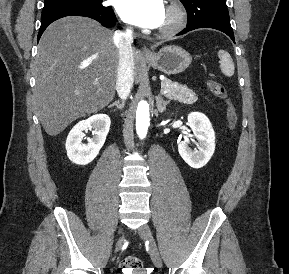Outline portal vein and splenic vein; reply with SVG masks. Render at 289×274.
Returning <instances> with one entry per match:
<instances>
[{
	"label": "portal vein and splenic vein",
	"instance_id": "portal-vein-and-splenic-vein-1",
	"mask_svg": "<svg viewBox=\"0 0 289 274\" xmlns=\"http://www.w3.org/2000/svg\"><path fill=\"white\" fill-rule=\"evenodd\" d=\"M168 92V90L162 89L161 90V94H166Z\"/></svg>",
	"mask_w": 289,
	"mask_h": 274
}]
</instances>
